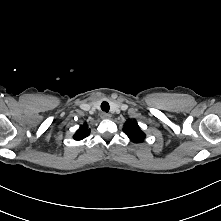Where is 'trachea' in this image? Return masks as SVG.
<instances>
[{"mask_svg":"<svg viewBox=\"0 0 221 221\" xmlns=\"http://www.w3.org/2000/svg\"><path fill=\"white\" fill-rule=\"evenodd\" d=\"M101 109L104 112H108L109 109H110V106H109V104L106 101H104V102L101 103Z\"/></svg>","mask_w":221,"mask_h":221,"instance_id":"3493384b","label":"trachea"}]
</instances>
